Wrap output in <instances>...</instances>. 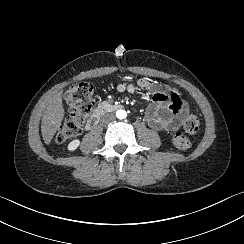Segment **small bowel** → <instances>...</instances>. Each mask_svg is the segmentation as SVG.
I'll return each instance as SVG.
<instances>
[{
  "mask_svg": "<svg viewBox=\"0 0 244 244\" xmlns=\"http://www.w3.org/2000/svg\"><path fill=\"white\" fill-rule=\"evenodd\" d=\"M117 90L130 93L138 90L150 92V102L144 113L146 124L153 129L167 131L178 127L183 110V101L172 88L141 78L133 84H118Z\"/></svg>",
  "mask_w": 244,
  "mask_h": 244,
  "instance_id": "small-bowel-1",
  "label": "small bowel"
}]
</instances>
